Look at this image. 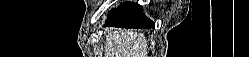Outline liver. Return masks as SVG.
I'll list each match as a JSON object with an SVG mask.
<instances>
[{
  "instance_id": "6515ba94",
  "label": "liver",
  "mask_w": 249,
  "mask_h": 57,
  "mask_svg": "<svg viewBox=\"0 0 249 57\" xmlns=\"http://www.w3.org/2000/svg\"><path fill=\"white\" fill-rule=\"evenodd\" d=\"M144 34L135 30L110 31L106 35L105 57H146Z\"/></svg>"
}]
</instances>
